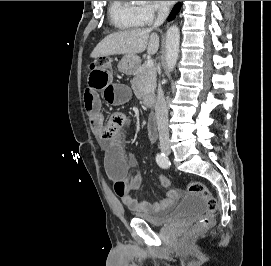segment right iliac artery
I'll return each mask as SVG.
<instances>
[{"mask_svg":"<svg viewBox=\"0 0 271 266\" xmlns=\"http://www.w3.org/2000/svg\"><path fill=\"white\" fill-rule=\"evenodd\" d=\"M156 162L161 168H168L170 166V161L164 153H158L156 156Z\"/></svg>","mask_w":271,"mask_h":266,"instance_id":"82829eb1","label":"right iliac artery"}]
</instances>
